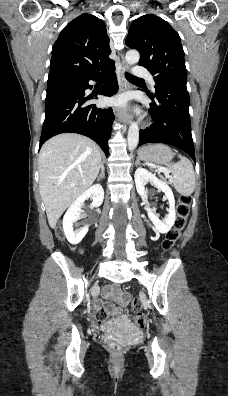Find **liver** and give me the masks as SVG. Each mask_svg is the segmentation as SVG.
Returning a JSON list of instances; mask_svg holds the SVG:
<instances>
[{"label": "liver", "mask_w": 228, "mask_h": 396, "mask_svg": "<svg viewBox=\"0 0 228 396\" xmlns=\"http://www.w3.org/2000/svg\"><path fill=\"white\" fill-rule=\"evenodd\" d=\"M101 166L98 146L88 137L64 133L45 142L39 153V191L51 228L92 185Z\"/></svg>", "instance_id": "obj_1"}]
</instances>
